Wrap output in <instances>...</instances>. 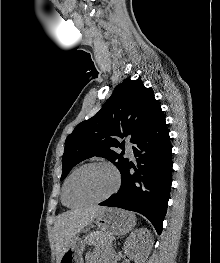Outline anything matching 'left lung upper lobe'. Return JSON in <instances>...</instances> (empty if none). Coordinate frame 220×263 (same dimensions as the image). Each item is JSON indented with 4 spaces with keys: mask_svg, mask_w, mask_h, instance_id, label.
<instances>
[{
    "mask_svg": "<svg viewBox=\"0 0 220 263\" xmlns=\"http://www.w3.org/2000/svg\"><path fill=\"white\" fill-rule=\"evenodd\" d=\"M163 117L154 92L140 80L125 79L114 89L102 109L78 124L67 137L61 180L73 166L93 156L107 158L122 172L128 159L114 151L124 144L117 138H129L135 143Z\"/></svg>",
    "mask_w": 220,
    "mask_h": 263,
    "instance_id": "5c2ea615",
    "label": "left lung upper lobe"
}]
</instances>
